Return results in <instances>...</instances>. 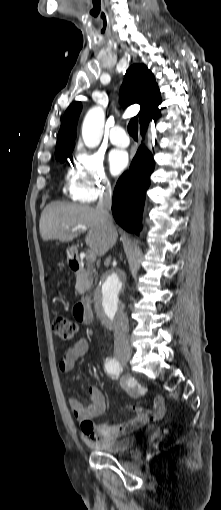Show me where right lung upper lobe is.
<instances>
[{
	"instance_id": "right-lung-upper-lobe-1",
	"label": "right lung upper lobe",
	"mask_w": 221,
	"mask_h": 510,
	"mask_svg": "<svg viewBox=\"0 0 221 510\" xmlns=\"http://www.w3.org/2000/svg\"><path fill=\"white\" fill-rule=\"evenodd\" d=\"M120 101L124 106L135 103L140 105L138 116L141 126L160 115L158 105L161 104V96L158 85L154 75L144 64H134L126 72ZM81 109V103L74 102L66 110L58 133L55 156L74 148Z\"/></svg>"
}]
</instances>
